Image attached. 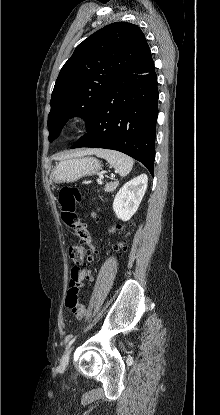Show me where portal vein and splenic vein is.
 Wrapping results in <instances>:
<instances>
[{
    "instance_id": "18ae733b",
    "label": "portal vein and splenic vein",
    "mask_w": 220,
    "mask_h": 415,
    "mask_svg": "<svg viewBox=\"0 0 220 415\" xmlns=\"http://www.w3.org/2000/svg\"><path fill=\"white\" fill-rule=\"evenodd\" d=\"M100 178L102 179L103 178V175H101Z\"/></svg>"
}]
</instances>
